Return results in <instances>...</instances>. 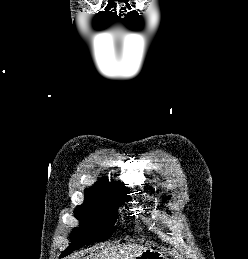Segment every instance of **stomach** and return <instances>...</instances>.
Returning a JSON list of instances; mask_svg holds the SVG:
<instances>
[{"label":"stomach","instance_id":"stomach-1","mask_svg":"<svg viewBox=\"0 0 248 259\" xmlns=\"http://www.w3.org/2000/svg\"><path fill=\"white\" fill-rule=\"evenodd\" d=\"M135 259H167L161 252L153 249H147L140 255L135 257Z\"/></svg>","mask_w":248,"mask_h":259}]
</instances>
